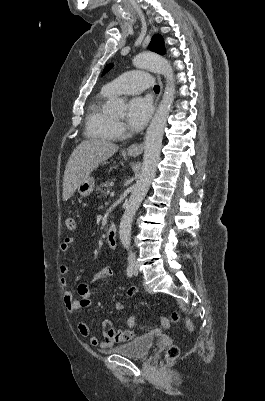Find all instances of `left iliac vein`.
Segmentation results:
<instances>
[{
  "mask_svg": "<svg viewBox=\"0 0 265 401\" xmlns=\"http://www.w3.org/2000/svg\"><path fill=\"white\" fill-rule=\"evenodd\" d=\"M132 265H133V273L134 275H137L138 274L137 265L135 263H133Z\"/></svg>",
  "mask_w": 265,
  "mask_h": 401,
  "instance_id": "1",
  "label": "left iliac vein"
}]
</instances>
